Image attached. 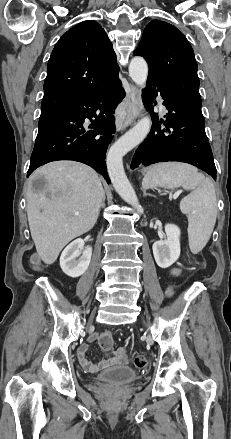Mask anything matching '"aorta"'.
I'll return each instance as SVG.
<instances>
[{
    "label": "aorta",
    "instance_id": "aorta-1",
    "mask_svg": "<svg viewBox=\"0 0 231 439\" xmlns=\"http://www.w3.org/2000/svg\"><path fill=\"white\" fill-rule=\"evenodd\" d=\"M129 75L138 86H145L148 76V65L143 57L136 56L131 59ZM150 128V117H143L132 129L111 146L107 154V170L114 189L123 200L136 208L140 213L143 212V208L139 204L136 193L125 174L123 156L145 139Z\"/></svg>",
    "mask_w": 231,
    "mask_h": 439
}]
</instances>
